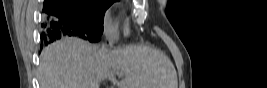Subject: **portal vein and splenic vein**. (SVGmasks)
I'll return each instance as SVG.
<instances>
[{
    "mask_svg": "<svg viewBox=\"0 0 267 88\" xmlns=\"http://www.w3.org/2000/svg\"><path fill=\"white\" fill-rule=\"evenodd\" d=\"M118 76L121 77L122 76V73H119Z\"/></svg>",
    "mask_w": 267,
    "mask_h": 88,
    "instance_id": "1",
    "label": "portal vein and splenic vein"
}]
</instances>
